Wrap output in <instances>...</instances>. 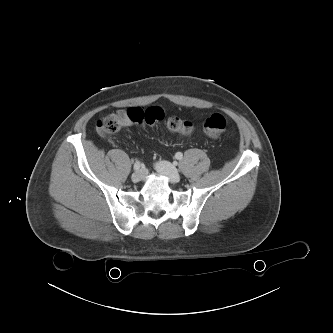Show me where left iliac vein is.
I'll use <instances>...</instances> for the list:
<instances>
[{"mask_svg": "<svg viewBox=\"0 0 333 333\" xmlns=\"http://www.w3.org/2000/svg\"><path fill=\"white\" fill-rule=\"evenodd\" d=\"M155 169L162 175L168 177L170 182L177 183L180 180L178 170L167 161H160L155 164Z\"/></svg>", "mask_w": 333, "mask_h": 333, "instance_id": "obj_1", "label": "left iliac vein"}]
</instances>
